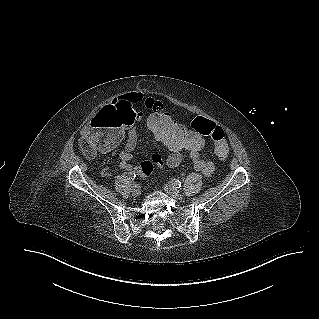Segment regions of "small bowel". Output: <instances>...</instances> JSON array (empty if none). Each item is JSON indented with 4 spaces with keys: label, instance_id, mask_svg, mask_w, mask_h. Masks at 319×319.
<instances>
[{
    "label": "small bowel",
    "instance_id": "1",
    "mask_svg": "<svg viewBox=\"0 0 319 319\" xmlns=\"http://www.w3.org/2000/svg\"><path fill=\"white\" fill-rule=\"evenodd\" d=\"M141 100L142 96L138 93H129L120 96L116 101H113L112 105L99 108L97 116L91 117L90 127H85L82 130V136H87L90 146L101 153H108L115 150L125 139L124 147L119 152V159L120 168L126 171L133 169L129 161L132 157V151L137 146V130L135 127L129 128V126L137 125V121L140 118V111L136 106ZM144 105L149 113H161L163 109L161 102L154 98L145 99ZM174 122L178 123L175 120ZM194 132L195 135H202L199 130H194ZM170 152L166 160V165L173 168L182 162L183 151L170 150ZM189 158L195 170L203 175L211 176L215 172L216 167L214 162L202 157L201 151L198 153H189ZM134 171L139 172V167H135Z\"/></svg>",
    "mask_w": 319,
    "mask_h": 319
}]
</instances>
